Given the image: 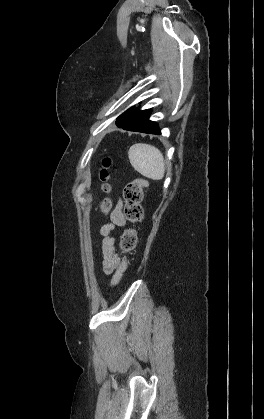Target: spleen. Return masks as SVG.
I'll return each instance as SVG.
<instances>
[{"label": "spleen", "mask_w": 264, "mask_h": 419, "mask_svg": "<svg viewBox=\"0 0 264 419\" xmlns=\"http://www.w3.org/2000/svg\"><path fill=\"white\" fill-rule=\"evenodd\" d=\"M133 168L143 176L160 180L164 177L165 164L160 150L150 144L137 143L128 151Z\"/></svg>", "instance_id": "obj_1"}]
</instances>
